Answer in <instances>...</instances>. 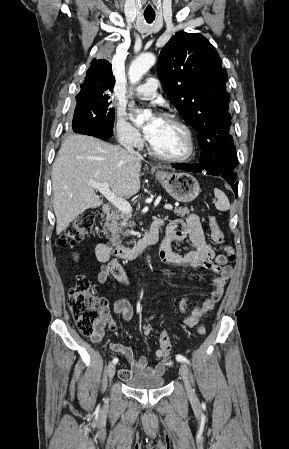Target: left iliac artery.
Listing matches in <instances>:
<instances>
[{
  "label": "left iliac artery",
  "mask_w": 289,
  "mask_h": 449,
  "mask_svg": "<svg viewBox=\"0 0 289 449\" xmlns=\"http://www.w3.org/2000/svg\"><path fill=\"white\" fill-rule=\"evenodd\" d=\"M176 360L179 362H185L187 364H190L189 360L186 357H184L183 355H179V354L176 355Z\"/></svg>",
  "instance_id": "obj_1"
}]
</instances>
